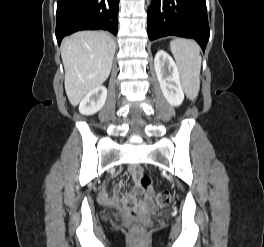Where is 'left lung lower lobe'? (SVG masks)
<instances>
[{"label": "left lung lower lobe", "instance_id": "left-lung-lower-lobe-1", "mask_svg": "<svg viewBox=\"0 0 264 247\" xmlns=\"http://www.w3.org/2000/svg\"><path fill=\"white\" fill-rule=\"evenodd\" d=\"M209 34L205 0H152L148 9L151 41L169 35L192 38L204 51Z\"/></svg>", "mask_w": 264, "mask_h": 247}]
</instances>
